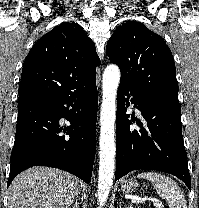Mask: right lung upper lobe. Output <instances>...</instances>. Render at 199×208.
Masks as SVG:
<instances>
[{
  "instance_id": "cb5924a9",
  "label": "right lung upper lobe",
  "mask_w": 199,
  "mask_h": 208,
  "mask_svg": "<svg viewBox=\"0 0 199 208\" xmlns=\"http://www.w3.org/2000/svg\"><path fill=\"white\" fill-rule=\"evenodd\" d=\"M100 65L93 41L77 23L63 22L41 37L27 55L18 106L45 101L84 88Z\"/></svg>"
}]
</instances>
